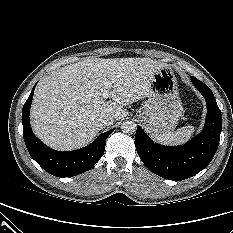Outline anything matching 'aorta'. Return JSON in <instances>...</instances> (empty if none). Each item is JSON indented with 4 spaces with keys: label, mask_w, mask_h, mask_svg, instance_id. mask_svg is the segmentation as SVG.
<instances>
[{
    "label": "aorta",
    "mask_w": 233,
    "mask_h": 233,
    "mask_svg": "<svg viewBox=\"0 0 233 233\" xmlns=\"http://www.w3.org/2000/svg\"><path fill=\"white\" fill-rule=\"evenodd\" d=\"M121 129L124 133L133 134L136 132L137 125L133 121H125L122 123Z\"/></svg>",
    "instance_id": "aorta-1"
}]
</instances>
